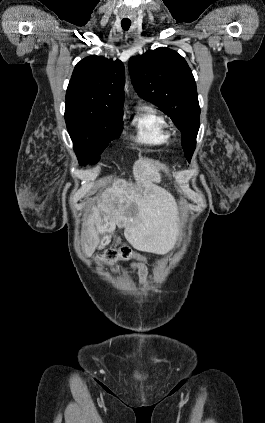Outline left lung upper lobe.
Instances as JSON below:
<instances>
[{
    "mask_svg": "<svg viewBox=\"0 0 265 423\" xmlns=\"http://www.w3.org/2000/svg\"><path fill=\"white\" fill-rule=\"evenodd\" d=\"M133 86L140 97L167 114L182 133L185 157L196 146L200 107L196 83L185 59L169 48H157L129 60Z\"/></svg>",
    "mask_w": 265,
    "mask_h": 423,
    "instance_id": "5c2ea615",
    "label": "left lung upper lobe"
}]
</instances>
